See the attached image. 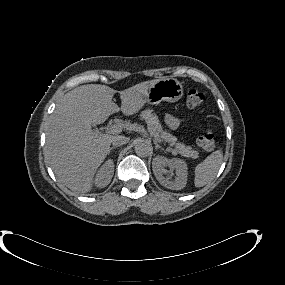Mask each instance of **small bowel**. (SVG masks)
Listing matches in <instances>:
<instances>
[{"instance_id": "small-bowel-1", "label": "small bowel", "mask_w": 285, "mask_h": 285, "mask_svg": "<svg viewBox=\"0 0 285 285\" xmlns=\"http://www.w3.org/2000/svg\"><path fill=\"white\" fill-rule=\"evenodd\" d=\"M165 122L170 128H176L179 125V123L181 122V120L177 117L172 116V115H167L165 118Z\"/></svg>"}]
</instances>
